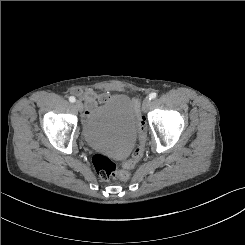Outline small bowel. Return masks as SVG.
Returning a JSON list of instances; mask_svg holds the SVG:
<instances>
[{
    "label": "small bowel",
    "mask_w": 245,
    "mask_h": 245,
    "mask_svg": "<svg viewBox=\"0 0 245 245\" xmlns=\"http://www.w3.org/2000/svg\"><path fill=\"white\" fill-rule=\"evenodd\" d=\"M85 99H86L85 116L89 117L95 112L99 103L104 102L108 99V95L99 94L90 91L85 93Z\"/></svg>",
    "instance_id": "obj_1"
}]
</instances>
